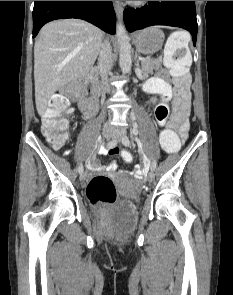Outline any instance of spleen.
<instances>
[{
    "mask_svg": "<svg viewBox=\"0 0 233 295\" xmlns=\"http://www.w3.org/2000/svg\"><path fill=\"white\" fill-rule=\"evenodd\" d=\"M189 41V35L183 31L174 32L169 36L164 50V60L169 67L175 70H183L185 66L192 63V56L188 47ZM177 49H185L186 54L179 60H173V55Z\"/></svg>",
    "mask_w": 233,
    "mask_h": 295,
    "instance_id": "spleen-1",
    "label": "spleen"
}]
</instances>
